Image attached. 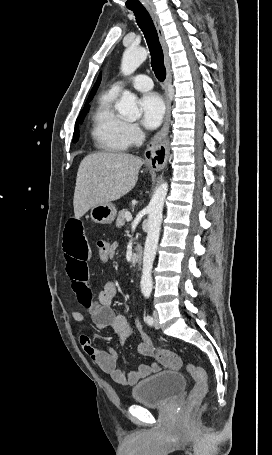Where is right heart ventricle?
Wrapping results in <instances>:
<instances>
[{"label":"right heart ventricle","mask_w":272,"mask_h":455,"mask_svg":"<svg viewBox=\"0 0 272 455\" xmlns=\"http://www.w3.org/2000/svg\"><path fill=\"white\" fill-rule=\"evenodd\" d=\"M117 93L111 89L98 98L91 114L90 134L96 148L104 152L118 153L128 149L126 122L116 113L113 102Z\"/></svg>","instance_id":"1"}]
</instances>
